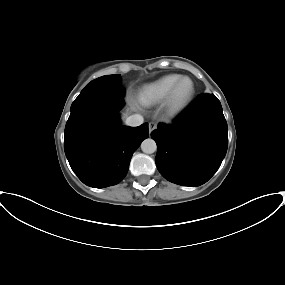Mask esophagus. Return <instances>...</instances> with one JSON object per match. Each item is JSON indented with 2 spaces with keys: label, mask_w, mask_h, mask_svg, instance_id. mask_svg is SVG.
Wrapping results in <instances>:
<instances>
[{
  "label": "esophagus",
  "mask_w": 285,
  "mask_h": 285,
  "mask_svg": "<svg viewBox=\"0 0 285 285\" xmlns=\"http://www.w3.org/2000/svg\"><path fill=\"white\" fill-rule=\"evenodd\" d=\"M156 128H157V124L155 122H150L149 123V133H151Z\"/></svg>",
  "instance_id": "34e87169"
}]
</instances>
